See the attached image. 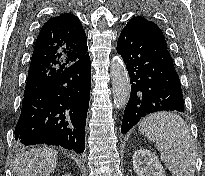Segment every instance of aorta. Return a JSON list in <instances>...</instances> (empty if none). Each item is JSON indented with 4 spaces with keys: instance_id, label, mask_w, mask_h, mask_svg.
Segmentation results:
<instances>
[{
    "instance_id": "obj_1",
    "label": "aorta",
    "mask_w": 205,
    "mask_h": 176,
    "mask_svg": "<svg viewBox=\"0 0 205 176\" xmlns=\"http://www.w3.org/2000/svg\"><path fill=\"white\" fill-rule=\"evenodd\" d=\"M113 102L116 108L121 109L126 106L131 92V84L122 58L115 56L111 60L110 66Z\"/></svg>"
}]
</instances>
